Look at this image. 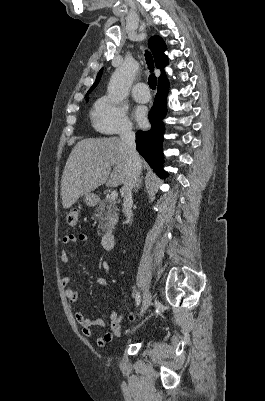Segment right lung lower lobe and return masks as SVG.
<instances>
[{"instance_id":"98d812e1","label":"right lung lower lobe","mask_w":265,"mask_h":401,"mask_svg":"<svg viewBox=\"0 0 265 401\" xmlns=\"http://www.w3.org/2000/svg\"><path fill=\"white\" fill-rule=\"evenodd\" d=\"M168 90L169 85H158V92L148 116L152 127L149 131L139 130L136 133V148L138 152L154 171L163 178L168 175L162 168V141L164 132L162 119L165 117L167 111L166 99Z\"/></svg>"}]
</instances>
